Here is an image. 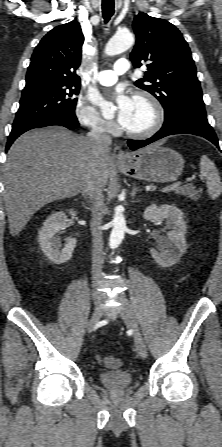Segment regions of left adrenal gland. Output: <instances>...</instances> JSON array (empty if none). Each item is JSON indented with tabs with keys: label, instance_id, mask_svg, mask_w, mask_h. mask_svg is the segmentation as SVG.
<instances>
[{
	"label": "left adrenal gland",
	"instance_id": "obj_1",
	"mask_svg": "<svg viewBox=\"0 0 222 447\" xmlns=\"http://www.w3.org/2000/svg\"><path fill=\"white\" fill-rule=\"evenodd\" d=\"M140 191H141V189H140V188H137L136 185L133 184L132 192H131V197H132V199H133V198L135 197V195H136L138 192H140Z\"/></svg>",
	"mask_w": 222,
	"mask_h": 447
}]
</instances>
